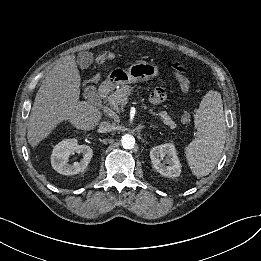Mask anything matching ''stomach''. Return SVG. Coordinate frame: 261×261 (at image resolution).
I'll use <instances>...</instances> for the list:
<instances>
[{"mask_svg":"<svg viewBox=\"0 0 261 261\" xmlns=\"http://www.w3.org/2000/svg\"><path fill=\"white\" fill-rule=\"evenodd\" d=\"M159 74L158 67L148 62H137L127 70L116 69L111 73L110 79L117 85H126L141 81H148Z\"/></svg>","mask_w":261,"mask_h":261,"instance_id":"1","label":"stomach"}]
</instances>
